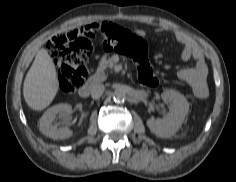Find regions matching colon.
<instances>
[{"instance_id": "1", "label": "colon", "mask_w": 236, "mask_h": 182, "mask_svg": "<svg viewBox=\"0 0 236 182\" xmlns=\"http://www.w3.org/2000/svg\"><path fill=\"white\" fill-rule=\"evenodd\" d=\"M96 35L103 36L105 46L133 59L143 86L158 85V76L147 57L145 40L114 23L102 22L57 35L47 42L46 49L58 67V85L63 93L71 94L85 82L92 51L89 39Z\"/></svg>"}]
</instances>
